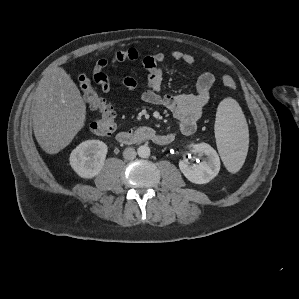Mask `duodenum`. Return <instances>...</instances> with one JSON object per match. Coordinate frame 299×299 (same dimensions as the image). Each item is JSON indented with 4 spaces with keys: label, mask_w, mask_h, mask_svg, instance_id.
I'll return each instance as SVG.
<instances>
[{
    "label": "duodenum",
    "mask_w": 299,
    "mask_h": 299,
    "mask_svg": "<svg viewBox=\"0 0 299 299\" xmlns=\"http://www.w3.org/2000/svg\"><path fill=\"white\" fill-rule=\"evenodd\" d=\"M117 140L123 144H134L144 141H153L158 144H163V135L158 134L153 128L148 126L138 127L133 130L120 131Z\"/></svg>",
    "instance_id": "duodenum-1"
}]
</instances>
